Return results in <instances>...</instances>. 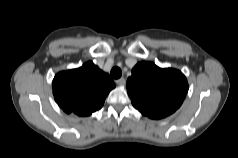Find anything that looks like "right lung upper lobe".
Masks as SVG:
<instances>
[{
    "label": "right lung upper lobe",
    "mask_w": 238,
    "mask_h": 158,
    "mask_svg": "<svg viewBox=\"0 0 238 158\" xmlns=\"http://www.w3.org/2000/svg\"><path fill=\"white\" fill-rule=\"evenodd\" d=\"M115 87L107 73L89 61L80 68L62 71L53 79V94L66 113L89 116L99 110Z\"/></svg>",
    "instance_id": "right-lung-upper-lobe-1"
}]
</instances>
